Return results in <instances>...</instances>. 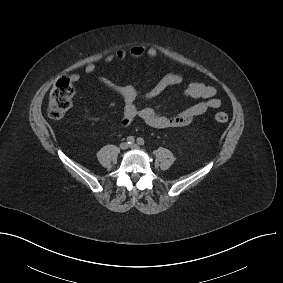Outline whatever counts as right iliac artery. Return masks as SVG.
<instances>
[{"mask_svg":"<svg viewBox=\"0 0 283 283\" xmlns=\"http://www.w3.org/2000/svg\"><path fill=\"white\" fill-rule=\"evenodd\" d=\"M134 141H135V139H134L133 136H129V137L127 138V143H128V144H133Z\"/></svg>","mask_w":283,"mask_h":283,"instance_id":"right-iliac-artery-1","label":"right iliac artery"}]
</instances>
